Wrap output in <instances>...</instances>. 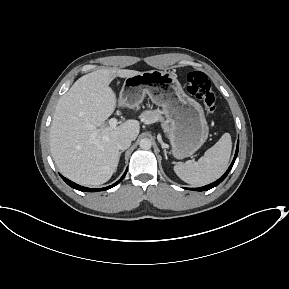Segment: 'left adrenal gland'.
<instances>
[{"label":"left adrenal gland","mask_w":289,"mask_h":289,"mask_svg":"<svg viewBox=\"0 0 289 289\" xmlns=\"http://www.w3.org/2000/svg\"><path fill=\"white\" fill-rule=\"evenodd\" d=\"M164 155H165V158L167 159V155H166V151L164 150Z\"/></svg>","instance_id":"1"}]
</instances>
